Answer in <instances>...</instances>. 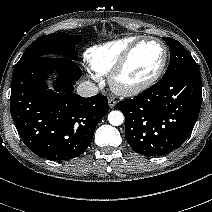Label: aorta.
<instances>
[{
    "mask_svg": "<svg viewBox=\"0 0 212 212\" xmlns=\"http://www.w3.org/2000/svg\"><path fill=\"white\" fill-rule=\"evenodd\" d=\"M108 121L113 126H120L124 122V115L118 110L111 111L108 114Z\"/></svg>",
    "mask_w": 212,
    "mask_h": 212,
    "instance_id": "aorta-1",
    "label": "aorta"
}]
</instances>
